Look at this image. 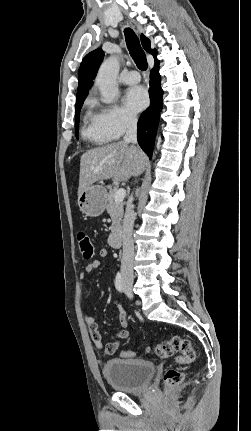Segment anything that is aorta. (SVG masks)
Returning a JSON list of instances; mask_svg holds the SVG:
<instances>
[{
  "mask_svg": "<svg viewBox=\"0 0 251 431\" xmlns=\"http://www.w3.org/2000/svg\"><path fill=\"white\" fill-rule=\"evenodd\" d=\"M119 69V60L114 56L107 58L99 68L96 85L101 92L103 103H112L118 94L116 78Z\"/></svg>",
  "mask_w": 251,
  "mask_h": 431,
  "instance_id": "762f6f07",
  "label": "aorta"
}]
</instances>
